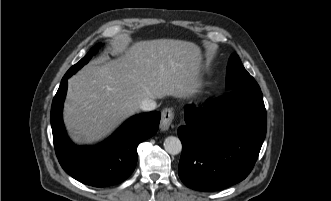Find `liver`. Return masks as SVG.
Wrapping results in <instances>:
<instances>
[{"instance_id":"1","label":"liver","mask_w":331,"mask_h":201,"mask_svg":"<svg viewBox=\"0 0 331 201\" xmlns=\"http://www.w3.org/2000/svg\"><path fill=\"white\" fill-rule=\"evenodd\" d=\"M114 60L92 62L69 79L63 117L76 143L98 142L139 112L146 98L186 97L198 86L200 48L156 39L118 46Z\"/></svg>"}]
</instances>
